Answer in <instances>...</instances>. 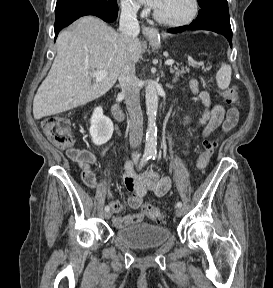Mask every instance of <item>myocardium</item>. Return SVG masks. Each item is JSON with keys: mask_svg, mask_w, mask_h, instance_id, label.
I'll list each match as a JSON object with an SVG mask.
<instances>
[{"mask_svg": "<svg viewBox=\"0 0 273 288\" xmlns=\"http://www.w3.org/2000/svg\"><path fill=\"white\" fill-rule=\"evenodd\" d=\"M193 3V9L192 12L190 13V15L184 19L181 20H169V19H165L163 17H161L156 10H154L153 12V17L154 19L166 26H171V27H181V26H185L189 23H191L198 15L199 12V1L198 0H192Z\"/></svg>", "mask_w": 273, "mask_h": 288, "instance_id": "obj_1", "label": "myocardium"}]
</instances>
